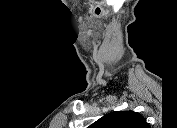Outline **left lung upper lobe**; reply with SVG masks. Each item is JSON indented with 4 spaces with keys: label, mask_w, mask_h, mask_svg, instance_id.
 I'll use <instances>...</instances> for the list:
<instances>
[{
    "label": "left lung upper lobe",
    "mask_w": 177,
    "mask_h": 128,
    "mask_svg": "<svg viewBox=\"0 0 177 128\" xmlns=\"http://www.w3.org/2000/svg\"><path fill=\"white\" fill-rule=\"evenodd\" d=\"M96 128H147L146 120L134 111H116L94 123Z\"/></svg>",
    "instance_id": "5c2ea615"
}]
</instances>
